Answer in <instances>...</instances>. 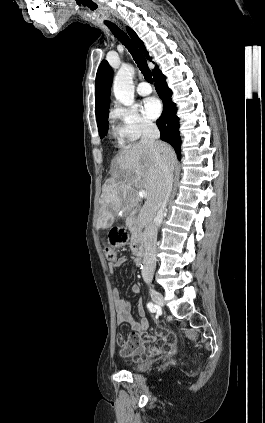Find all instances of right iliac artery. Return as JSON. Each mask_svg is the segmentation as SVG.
Masks as SVG:
<instances>
[{
  "label": "right iliac artery",
  "instance_id": "82829eb1",
  "mask_svg": "<svg viewBox=\"0 0 265 423\" xmlns=\"http://www.w3.org/2000/svg\"><path fill=\"white\" fill-rule=\"evenodd\" d=\"M147 308H148L151 312H155V311H156V308H157V305H156V304H154V303H152V302H149V303L147 304Z\"/></svg>",
  "mask_w": 265,
  "mask_h": 423
}]
</instances>
